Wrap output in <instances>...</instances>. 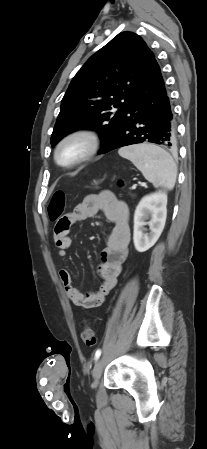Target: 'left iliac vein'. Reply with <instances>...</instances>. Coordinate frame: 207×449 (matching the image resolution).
<instances>
[{"label": "left iliac vein", "instance_id": "1", "mask_svg": "<svg viewBox=\"0 0 207 449\" xmlns=\"http://www.w3.org/2000/svg\"><path fill=\"white\" fill-rule=\"evenodd\" d=\"M105 366V360L103 358H100L96 361L94 368L92 370V377H93V387H97L99 383V379L102 375L103 369Z\"/></svg>", "mask_w": 207, "mask_h": 449}]
</instances>
